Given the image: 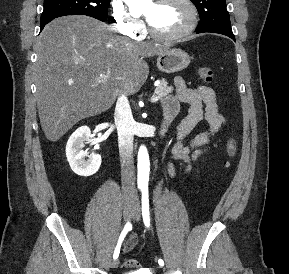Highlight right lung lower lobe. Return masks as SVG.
<instances>
[{
    "mask_svg": "<svg viewBox=\"0 0 289 274\" xmlns=\"http://www.w3.org/2000/svg\"><path fill=\"white\" fill-rule=\"evenodd\" d=\"M53 19H47L45 21H41L40 23V31H42V29L44 28V26L49 23L50 21H52Z\"/></svg>",
    "mask_w": 289,
    "mask_h": 274,
    "instance_id": "1",
    "label": "right lung lower lobe"
}]
</instances>
